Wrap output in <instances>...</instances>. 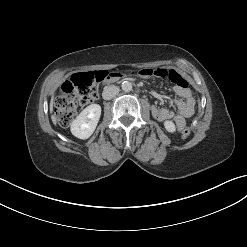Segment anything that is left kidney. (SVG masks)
<instances>
[{"label":"left kidney","instance_id":"1","mask_svg":"<svg viewBox=\"0 0 247 247\" xmlns=\"http://www.w3.org/2000/svg\"><path fill=\"white\" fill-rule=\"evenodd\" d=\"M164 126H165V129L170 133H174L176 131L175 124L172 121H169V120L165 121Z\"/></svg>","mask_w":247,"mask_h":247}]
</instances>
